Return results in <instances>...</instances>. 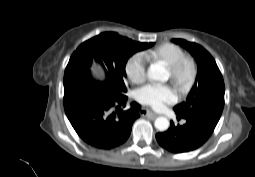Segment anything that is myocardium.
<instances>
[{
  "instance_id": "f54148a6",
  "label": "myocardium",
  "mask_w": 255,
  "mask_h": 177,
  "mask_svg": "<svg viewBox=\"0 0 255 177\" xmlns=\"http://www.w3.org/2000/svg\"><path fill=\"white\" fill-rule=\"evenodd\" d=\"M167 67L177 87L185 90L190 86L195 76V62L191 56L185 54Z\"/></svg>"
}]
</instances>
